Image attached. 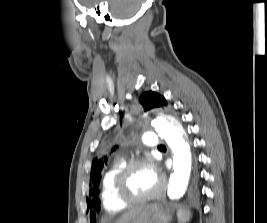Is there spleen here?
Listing matches in <instances>:
<instances>
[{"instance_id":"1","label":"spleen","mask_w":267,"mask_h":223,"mask_svg":"<svg viewBox=\"0 0 267 223\" xmlns=\"http://www.w3.org/2000/svg\"><path fill=\"white\" fill-rule=\"evenodd\" d=\"M192 214L191 211L185 207H179L177 210V217L179 223H186L190 221Z\"/></svg>"}]
</instances>
